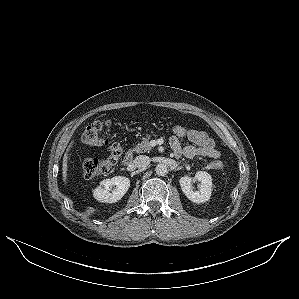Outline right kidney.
<instances>
[{
  "mask_svg": "<svg viewBox=\"0 0 299 299\" xmlns=\"http://www.w3.org/2000/svg\"><path fill=\"white\" fill-rule=\"evenodd\" d=\"M114 189L112 190V188ZM130 187V180L124 176H115L111 179H105L93 191L96 200L105 203H115L120 200Z\"/></svg>",
  "mask_w": 299,
  "mask_h": 299,
  "instance_id": "right-kidney-1",
  "label": "right kidney"
}]
</instances>
